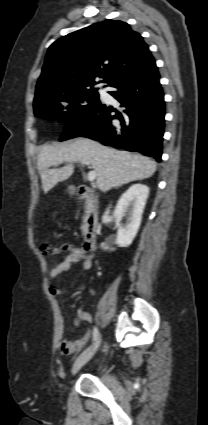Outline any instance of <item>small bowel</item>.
Here are the masks:
<instances>
[{
    "label": "small bowel",
    "mask_w": 208,
    "mask_h": 425,
    "mask_svg": "<svg viewBox=\"0 0 208 425\" xmlns=\"http://www.w3.org/2000/svg\"><path fill=\"white\" fill-rule=\"evenodd\" d=\"M61 249L67 251L66 255L64 256L63 260L55 265L50 270V277L51 278H57L62 273L68 271L73 264L80 263L82 266V269L85 271L91 270L92 268V258L88 255H85L83 250L80 248L74 247L70 244H63L61 245ZM50 294L58 297L63 296L67 292L64 291L61 288L52 286L49 288ZM92 317L91 315L85 311L84 309L80 308L77 311V318L71 319L69 322L73 326H79L81 322H91ZM90 338V332L86 331L81 337H79L76 340H65L62 339L60 341V350L65 355H71L79 350H81L89 341Z\"/></svg>",
    "instance_id": "c3829d8e"
}]
</instances>
